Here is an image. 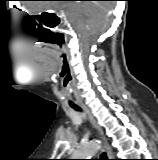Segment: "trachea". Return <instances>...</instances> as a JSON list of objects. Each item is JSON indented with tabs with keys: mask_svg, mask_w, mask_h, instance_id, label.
Wrapping results in <instances>:
<instances>
[{
	"mask_svg": "<svg viewBox=\"0 0 158 160\" xmlns=\"http://www.w3.org/2000/svg\"><path fill=\"white\" fill-rule=\"evenodd\" d=\"M71 107L76 111H80V108L76 105H71ZM101 160H108L106 153L102 154Z\"/></svg>",
	"mask_w": 158,
	"mask_h": 160,
	"instance_id": "obj_1",
	"label": "trachea"
}]
</instances>
